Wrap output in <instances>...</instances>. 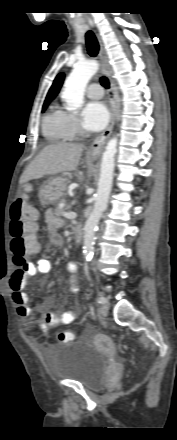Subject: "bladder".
Listing matches in <instances>:
<instances>
[{
  "label": "bladder",
  "instance_id": "obj_1",
  "mask_svg": "<svg viewBox=\"0 0 177 440\" xmlns=\"http://www.w3.org/2000/svg\"><path fill=\"white\" fill-rule=\"evenodd\" d=\"M107 364L108 356L103 350L70 341L59 348L50 370L56 379L79 382L95 390L104 383Z\"/></svg>",
  "mask_w": 177,
  "mask_h": 440
}]
</instances>
